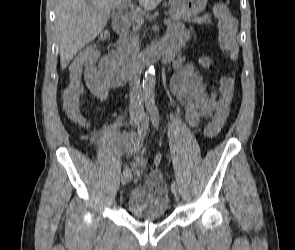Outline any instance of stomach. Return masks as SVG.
<instances>
[{
  "instance_id": "1",
  "label": "stomach",
  "mask_w": 295,
  "mask_h": 250,
  "mask_svg": "<svg viewBox=\"0 0 295 250\" xmlns=\"http://www.w3.org/2000/svg\"><path fill=\"white\" fill-rule=\"evenodd\" d=\"M174 13L182 17L196 16L201 13L207 0H169Z\"/></svg>"
}]
</instances>
